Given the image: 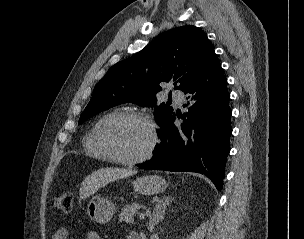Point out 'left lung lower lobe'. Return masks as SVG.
<instances>
[{
    "label": "left lung lower lobe",
    "instance_id": "1",
    "mask_svg": "<svg viewBox=\"0 0 304 239\" xmlns=\"http://www.w3.org/2000/svg\"><path fill=\"white\" fill-rule=\"evenodd\" d=\"M221 65L214 54L201 75L186 91L187 113L176 114L162 125L161 143L141 169L191 171L206 175L218 190L222 188L232 128L230 95Z\"/></svg>",
    "mask_w": 304,
    "mask_h": 239
}]
</instances>
